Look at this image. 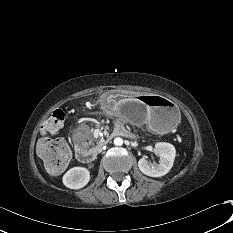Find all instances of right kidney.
I'll return each instance as SVG.
<instances>
[{
  "label": "right kidney",
  "mask_w": 233,
  "mask_h": 233,
  "mask_svg": "<svg viewBox=\"0 0 233 233\" xmlns=\"http://www.w3.org/2000/svg\"><path fill=\"white\" fill-rule=\"evenodd\" d=\"M89 180L90 173L84 167H73L62 178L63 184L70 189L83 188Z\"/></svg>",
  "instance_id": "obj_1"
}]
</instances>
